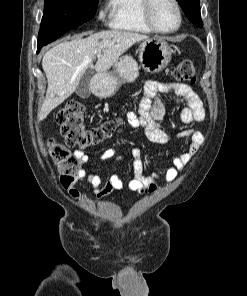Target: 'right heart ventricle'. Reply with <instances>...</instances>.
<instances>
[{"label": "right heart ventricle", "instance_id": "right-heart-ventricle-1", "mask_svg": "<svg viewBox=\"0 0 247 296\" xmlns=\"http://www.w3.org/2000/svg\"><path fill=\"white\" fill-rule=\"evenodd\" d=\"M143 3L144 0H109L110 26L121 31L152 33L143 17Z\"/></svg>", "mask_w": 247, "mask_h": 296}]
</instances>
